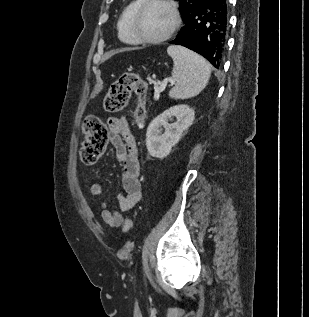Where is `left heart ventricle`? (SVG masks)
<instances>
[{"mask_svg": "<svg viewBox=\"0 0 309 317\" xmlns=\"http://www.w3.org/2000/svg\"><path fill=\"white\" fill-rule=\"evenodd\" d=\"M173 20L172 11L168 6L161 3H153L141 13L137 28L143 36L155 38L168 32Z\"/></svg>", "mask_w": 309, "mask_h": 317, "instance_id": "left-heart-ventricle-1", "label": "left heart ventricle"}]
</instances>
